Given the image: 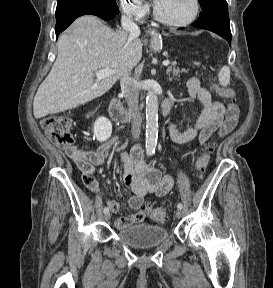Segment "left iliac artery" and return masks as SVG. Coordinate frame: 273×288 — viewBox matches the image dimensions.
<instances>
[{
	"instance_id": "1",
	"label": "left iliac artery",
	"mask_w": 273,
	"mask_h": 288,
	"mask_svg": "<svg viewBox=\"0 0 273 288\" xmlns=\"http://www.w3.org/2000/svg\"><path fill=\"white\" fill-rule=\"evenodd\" d=\"M177 208H178V209H182V208H183V205H182L181 203H178V204H177Z\"/></svg>"
}]
</instances>
